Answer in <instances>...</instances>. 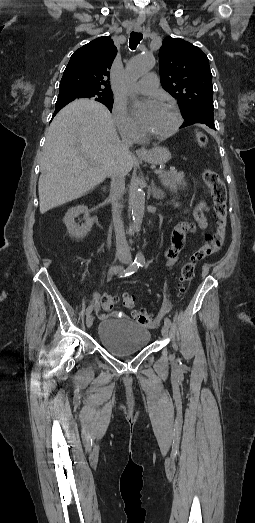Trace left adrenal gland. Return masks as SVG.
I'll return each mask as SVG.
<instances>
[{"mask_svg":"<svg viewBox=\"0 0 255 523\" xmlns=\"http://www.w3.org/2000/svg\"><path fill=\"white\" fill-rule=\"evenodd\" d=\"M151 194L153 198H156V200H163L165 194L162 192V190H159V188H156L153 180L151 182Z\"/></svg>","mask_w":255,"mask_h":523,"instance_id":"a2214340","label":"left adrenal gland"}]
</instances>
